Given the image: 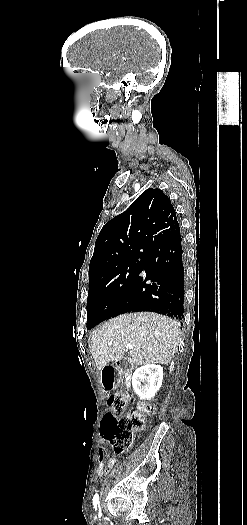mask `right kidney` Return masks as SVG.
<instances>
[{
  "label": "right kidney",
  "instance_id": "right-kidney-1",
  "mask_svg": "<svg viewBox=\"0 0 247 525\" xmlns=\"http://www.w3.org/2000/svg\"><path fill=\"white\" fill-rule=\"evenodd\" d=\"M163 383L161 365H144L132 375L131 385L141 401H151Z\"/></svg>",
  "mask_w": 247,
  "mask_h": 525
}]
</instances>
